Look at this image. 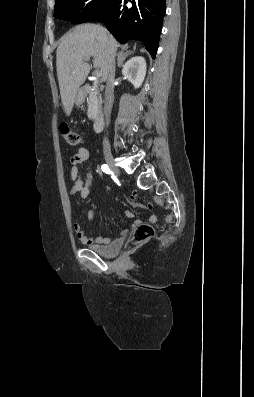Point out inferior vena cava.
Returning a JSON list of instances; mask_svg holds the SVG:
<instances>
[{
    "label": "inferior vena cava",
    "mask_w": 254,
    "mask_h": 397,
    "mask_svg": "<svg viewBox=\"0 0 254 397\" xmlns=\"http://www.w3.org/2000/svg\"><path fill=\"white\" fill-rule=\"evenodd\" d=\"M115 78V63L114 58L112 56L111 62L108 66L107 78H106V88H105V101H104V110H105V121L106 125L109 123V117L113 106L114 94H113V83ZM104 148H109V142L107 138L103 140Z\"/></svg>",
    "instance_id": "602c4592"
}]
</instances>
